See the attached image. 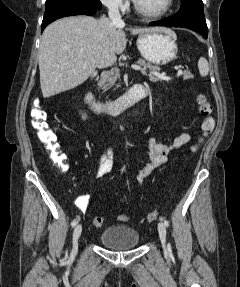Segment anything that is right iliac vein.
<instances>
[{
    "label": "right iliac vein",
    "mask_w": 240,
    "mask_h": 287,
    "mask_svg": "<svg viewBox=\"0 0 240 287\" xmlns=\"http://www.w3.org/2000/svg\"><path fill=\"white\" fill-rule=\"evenodd\" d=\"M82 232V225L78 224L73 231V239H72V254H76L78 249V239Z\"/></svg>",
    "instance_id": "63e3f726"
}]
</instances>
